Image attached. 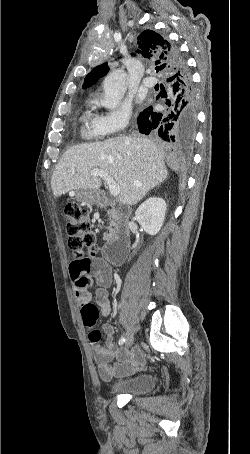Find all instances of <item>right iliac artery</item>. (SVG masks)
Listing matches in <instances>:
<instances>
[{
  "mask_svg": "<svg viewBox=\"0 0 250 454\" xmlns=\"http://www.w3.org/2000/svg\"><path fill=\"white\" fill-rule=\"evenodd\" d=\"M124 343H125V337L122 336V337L119 339V345H123Z\"/></svg>",
  "mask_w": 250,
  "mask_h": 454,
  "instance_id": "obj_1",
  "label": "right iliac artery"
}]
</instances>
